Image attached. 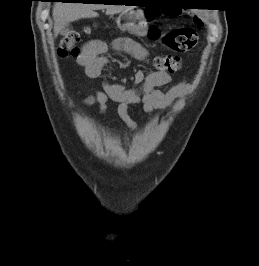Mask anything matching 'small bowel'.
<instances>
[{
  "label": "small bowel",
  "mask_w": 259,
  "mask_h": 266,
  "mask_svg": "<svg viewBox=\"0 0 259 266\" xmlns=\"http://www.w3.org/2000/svg\"><path fill=\"white\" fill-rule=\"evenodd\" d=\"M109 47L127 52L138 60H143L148 55L146 48L128 38L118 39L112 44L102 39L91 40L83 46L78 58V63L84 67L88 77L97 78L102 74L109 63V58L106 55ZM171 80L172 77L167 72L146 74L140 70L135 73L133 78L135 86L127 87L104 80V91L88 97L86 103L98 104L101 113L107 111L108 101L117 103L119 117L131 131L136 132L138 125L129 114L130 105H140L144 112L151 115L155 109L168 107L176 99L190 91V85L185 81L177 83L167 91L159 89L170 83Z\"/></svg>",
  "instance_id": "1"
}]
</instances>
